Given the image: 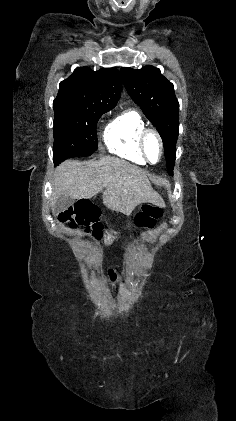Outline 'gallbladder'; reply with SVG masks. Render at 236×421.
<instances>
[{"label":"gallbladder","instance_id":"obj_1","mask_svg":"<svg viewBox=\"0 0 236 421\" xmlns=\"http://www.w3.org/2000/svg\"><path fill=\"white\" fill-rule=\"evenodd\" d=\"M74 202L75 198H72V196H64V194L59 196L53 206L55 215H57V213H63V211H68L69 206L74 204Z\"/></svg>","mask_w":236,"mask_h":421}]
</instances>
